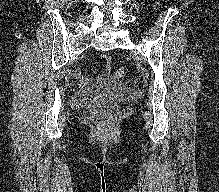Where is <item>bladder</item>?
<instances>
[{
    "label": "bladder",
    "instance_id": "bladder-1",
    "mask_svg": "<svg viewBox=\"0 0 219 192\" xmlns=\"http://www.w3.org/2000/svg\"><path fill=\"white\" fill-rule=\"evenodd\" d=\"M131 95L132 93L124 84L108 81L98 90L79 91L74 95L73 102L80 111L107 112Z\"/></svg>",
    "mask_w": 219,
    "mask_h": 192
}]
</instances>
